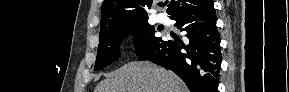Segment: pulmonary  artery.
Listing matches in <instances>:
<instances>
[{
	"instance_id": "obj_1",
	"label": "pulmonary artery",
	"mask_w": 289,
	"mask_h": 92,
	"mask_svg": "<svg viewBox=\"0 0 289 92\" xmlns=\"http://www.w3.org/2000/svg\"><path fill=\"white\" fill-rule=\"evenodd\" d=\"M157 20H158V22H160V23H165V22L167 21V18H166V16L163 15V14H158V15H157Z\"/></svg>"
}]
</instances>
